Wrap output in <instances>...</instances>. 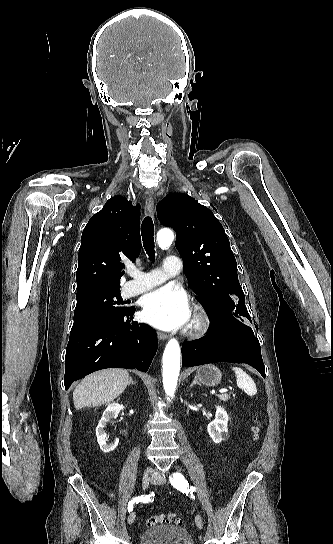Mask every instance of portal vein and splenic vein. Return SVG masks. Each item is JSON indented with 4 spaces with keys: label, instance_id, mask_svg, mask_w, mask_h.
<instances>
[{
    "label": "portal vein and splenic vein",
    "instance_id": "1",
    "mask_svg": "<svg viewBox=\"0 0 333 544\" xmlns=\"http://www.w3.org/2000/svg\"><path fill=\"white\" fill-rule=\"evenodd\" d=\"M226 391H227V389H224V388L219 390L220 393H224Z\"/></svg>",
    "mask_w": 333,
    "mask_h": 544
}]
</instances>
